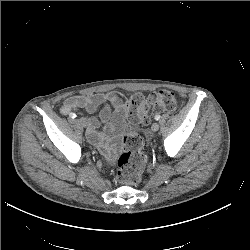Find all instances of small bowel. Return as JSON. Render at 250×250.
I'll use <instances>...</instances> for the list:
<instances>
[{"instance_id":"c3829d8e","label":"small bowel","mask_w":250,"mask_h":250,"mask_svg":"<svg viewBox=\"0 0 250 250\" xmlns=\"http://www.w3.org/2000/svg\"><path fill=\"white\" fill-rule=\"evenodd\" d=\"M111 105L118 115H122L125 100L119 92L97 93L89 95H75L67 98L60 108V113L68 115L73 111L84 109L89 113L87 120V138L97 146L109 160H113V153L106 145L105 136L115 131L114 125L109 122ZM100 110L99 117L94 114ZM100 124L104 125V132L99 131Z\"/></svg>"}]
</instances>
